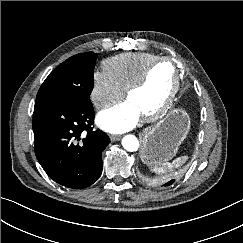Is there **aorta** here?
I'll return each instance as SVG.
<instances>
[{"mask_svg": "<svg viewBox=\"0 0 243 243\" xmlns=\"http://www.w3.org/2000/svg\"><path fill=\"white\" fill-rule=\"evenodd\" d=\"M122 146L129 152H135L139 148V141L134 135H126L122 139Z\"/></svg>", "mask_w": 243, "mask_h": 243, "instance_id": "1", "label": "aorta"}]
</instances>
